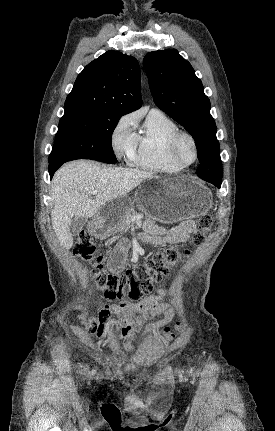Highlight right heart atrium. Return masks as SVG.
<instances>
[{
    "label": "right heart atrium",
    "instance_id": "d8ad5b80",
    "mask_svg": "<svg viewBox=\"0 0 275 431\" xmlns=\"http://www.w3.org/2000/svg\"><path fill=\"white\" fill-rule=\"evenodd\" d=\"M134 124L132 115H124L118 120L111 134L114 153L118 158H125L129 162H132L137 146Z\"/></svg>",
    "mask_w": 275,
    "mask_h": 431
}]
</instances>
